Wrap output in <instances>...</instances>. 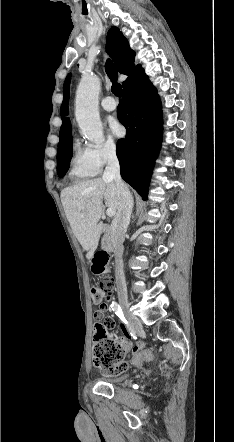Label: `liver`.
Segmentation results:
<instances>
[{
  "label": "liver",
  "instance_id": "liver-1",
  "mask_svg": "<svg viewBox=\"0 0 234 442\" xmlns=\"http://www.w3.org/2000/svg\"><path fill=\"white\" fill-rule=\"evenodd\" d=\"M103 199L108 208L117 212L119 190L114 181L97 178L78 182L61 191V202L75 237L90 260L96 251L102 231L100 221Z\"/></svg>",
  "mask_w": 234,
  "mask_h": 442
}]
</instances>
